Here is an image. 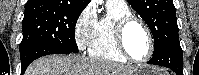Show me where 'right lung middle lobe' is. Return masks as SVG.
<instances>
[{"instance_id":"right-lung-middle-lobe-1","label":"right lung middle lobe","mask_w":199,"mask_h":75,"mask_svg":"<svg viewBox=\"0 0 199 75\" xmlns=\"http://www.w3.org/2000/svg\"><path fill=\"white\" fill-rule=\"evenodd\" d=\"M83 10L60 4L25 6L20 50L40 42L77 53L75 25Z\"/></svg>"}]
</instances>
